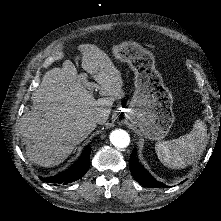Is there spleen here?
I'll return each mask as SVG.
<instances>
[{
  "instance_id": "obj_1",
  "label": "spleen",
  "mask_w": 221,
  "mask_h": 221,
  "mask_svg": "<svg viewBox=\"0 0 221 221\" xmlns=\"http://www.w3.org/2000/svg\"><path fill=\"white\" fill-rule=\"evenodd\" d=\"M207 133L206 123L199 118L189 133L177 139L157 142L156 152L160 162L174 170H182L193 165L205 145Z\"/></svg>"
}]
</instances>
